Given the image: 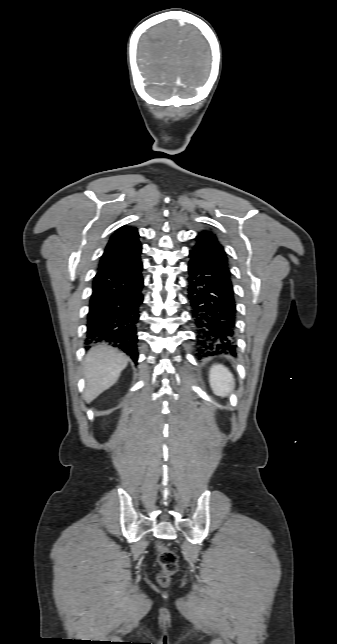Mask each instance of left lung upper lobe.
I'll return each mask as SVG.
<instances>
[{"instance_id": "left-lung-upper-lobe-1", "label": "left lung upper lobe", "mask_w": 337, "mask_h": 644, "mask_svg": "<svg viewBox=\"0 0 337 644\" xmlns=\"http://www.w3.org/2000/svg\"><path fill=\"white\" fill-rule=\"evenodd\" d=\"M196 243L192 247V252H195L204 258L211 260L220 266L229 277L231 273L228 266L226 253L219 243L215 234L210 231H201L195 238Z\"/></svg>"}]
</instances>
